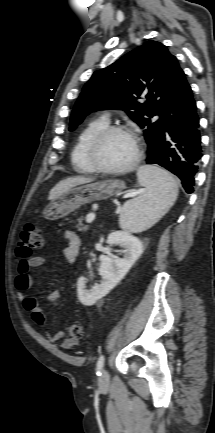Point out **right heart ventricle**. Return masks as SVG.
<instances>
[{
    "label": "right heart ventricle",
    "instance_id": "right-heart-ventricle-1",
    "mask_svg": "<svg viewBox=\"0 0 215 433\" xmlns=\"http://www.w3.org/2000/svg\"><path fill=\"white\" fill-rule=\"evenodd\" d=\"M108 126V120L104 117L96 118L86 124L78 135L77 141L71 153L73 168L79 173H93L95 170L87 158V149L92 138L103 128Z\"/></svg>",
    "mask_w": 215,
    "mask_h": 433
}]
</instances>
